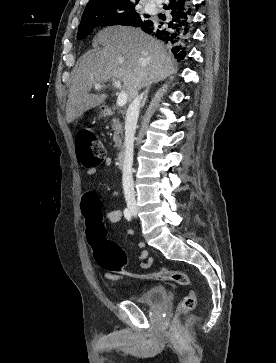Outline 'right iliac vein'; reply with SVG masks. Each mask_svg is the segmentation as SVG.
<instances>
[{
	"mask_svg": "<svg viewBox=\"0 0 276 363\" xmlns=\"http://www.w3.org/2000/svg\"><path fill=\"white\" fill-rule=\"evenodd\" d=\"M129 209H130V211H131L134 215H136V214H137L136 206L130 205V206H129Z\"/></svg>",
	"mask_w": 276,
	"mask_h": 363,
	"instance_id": "63e3f726",
	"label": "right iliac vein"
}]
</instances>
